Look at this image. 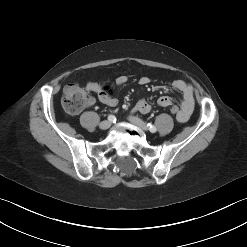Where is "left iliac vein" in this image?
<instances>
[{"instance_id":"obj_1","label":"left iliac vein","mask_w":247,"mask_h":247,"mask_svg":"<svg viewBox=\"0 0 247 247\" xmlns=\"http://www.w3.org/2000/svg\"><path fill=\"white\" fill-rule=\"evenodd\" d=\"M128 120H129L132 124L136 125L137 127L141 128V129H143V130H147V129H148V126L146 125V123H144L142 120H140V119L137 118V117L130 116V117L128 118Z\"/></svg>"}]
</instances>
